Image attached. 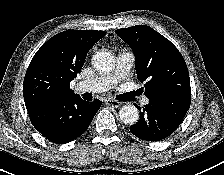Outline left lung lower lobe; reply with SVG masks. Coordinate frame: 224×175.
I'll return each mask as SVG.
<instances>
[{"label":"left lung lower lobe","instance_id":"obj_1","mask_svg":"<svg viewBox=\"0 0 224 175\" xmlns=\"http://www.w3.org/2000/svg\"><path fill=\"white\" fill-rule=\"evenodd\" d=\"M189 107L190 102L149 99V104L144 106L139 121L130 127V132L145 141L163 140L182 123Z\"/></svg>","mask_w":224,"mask_h":175}]
</instances>
